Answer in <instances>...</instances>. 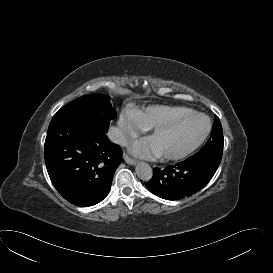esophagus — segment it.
Instances as JSON below:
<instances>
[{"instance_id": "34e87169", "label": "esophagus", "mask_w": 273, "mask_h": 273, "mask_svg": "<svg viewBox=\"0 0 273 273\" xmlns=\"http://www.w3.org/2000/svg\"><path fill=\"white\" fill-rule=\"evenodd\" d=\"M124 161L127 163V164H130V165H134L137 163V159H134L128 155H124Z\"/></svg>"}]
</instances>
